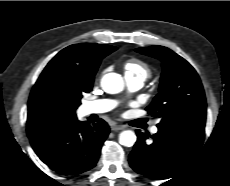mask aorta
I'll return each instance as SVG.
<instances>
[{"instance_id": "aorta-1", "label": "aorta", "mask_w": 230, "mask_h": 186, "mask_svg": "<svg viewBox=\"0 0 230 186\" xmlns=\"http://www.w3.org/2000/svg\"><path fill=\"white\" fill-rule=\"evenodd\" d=\"M101 87L106 93L116 94L123 90L124 81L121 75L117 73H108L102 77ZM119 142L123 146L131 147L136 142V135L131 130L122 131L119 134Z\"/></svg>"}]
</instances>
